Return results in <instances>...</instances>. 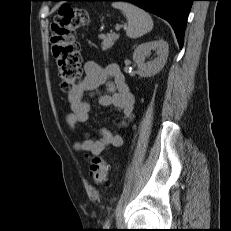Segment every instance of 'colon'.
Returning <instances> with one entry per match:
<instances>
[{
	"label": "colon",
	"mask_w": 231,
	"mask_h": 231,
	"mask_svg": "<svg viewBox=\"0 0 231 231\" xmlns=\"http://www.w3.org/2000/svg\"><path fill=\"white\" fill-rule=\"evenodd\" d=\"M88 22L89 17L83 9L66 4L60 7L52 25L53 56L61 86L65 91H70L82 77L80 46L75 40V33ZM89 173L94 182L106 184L109 166L105 159L94 156Z\"/></svg>",
	"instance_id": "colon-1"
}]
</instances>
